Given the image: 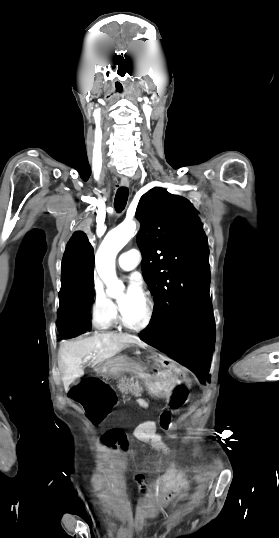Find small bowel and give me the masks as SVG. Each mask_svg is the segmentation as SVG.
I'll return each mask as SVG.
<instances>
[{
  "label": "small bowel",
  "instance_id": "c3829d8e",
  "mask_svg": "<svg viewBox=\"0 0 279 538\" xmlns=\"http://www.w3.org/2000/svg\"><path fill=\"white\" fill-rule=\"evenodd\" d=\"M188 398L189 393L186 392L179 384L173 387L171 394L168 397L167 406L160 416V425L171 437H174V424L172 422V416L187 403ZM137 434L143 441L151 444L153 447L164 451L167 450L166 445L162 441V436L157 432V425L155 422L150 421L144 423L138 428ZM168 480V475L163 476L157 482L156 488L163 491V486Z\"/></svg>",
  "mask_w": 279,
  "mask_h": 538
}]
</instances>
